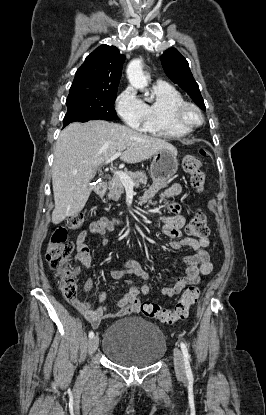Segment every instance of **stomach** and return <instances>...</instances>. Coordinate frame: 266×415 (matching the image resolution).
I'll return each instance as SVG.
<instances>
[{"instance_id":"stomach-1","label":"stomach","mask_w":266,"mask_h":415,"mask_svg":"<svg viewBox=\"0 0 266 415\" xmlns=\"http://www.w3.org/2000/svg\"><path fill=\"white\" fill-rule=\"evenodd\" d=\"M177 154L169 149H160L153 155L150 176L154 182L170 179L178 169Z\"/></svg>"}]
</instances>
